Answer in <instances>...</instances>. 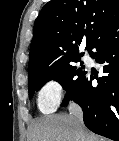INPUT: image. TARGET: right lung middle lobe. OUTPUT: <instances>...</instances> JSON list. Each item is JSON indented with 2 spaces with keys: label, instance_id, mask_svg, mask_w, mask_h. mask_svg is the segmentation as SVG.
<instances>
[{
  "label": "right lung middle lobe",
  "instance_id": "1",
  "mask_svg": "<svg viewBox=\"0 0 119 141\" xmlns=\"http://www.w3.org/2000/svg\"><path fill=\"white\" fill-rule=\"evenodd\" d=\"M80 61V57L71 60L69 63L48 70H42L28 75L29 98L31 99L36 91H38L47 81L56 80L67 91L62 105L67 103L71 98L77 84L85 74L82 68L77 69L72 66V62ZM82 64V62H81Z\"/></svg>",
  "mask_w": 119,
  "mask_h": 141
}]
</instances>
